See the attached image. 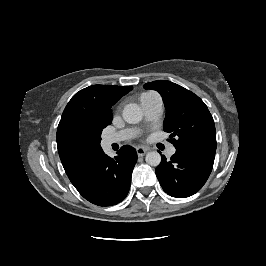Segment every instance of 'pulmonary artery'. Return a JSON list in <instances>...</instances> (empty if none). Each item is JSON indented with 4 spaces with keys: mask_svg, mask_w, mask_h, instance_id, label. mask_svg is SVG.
<instances>
[{
    "mask_svg": "<svg viewBox=\"0 0 266 266\" xmlns=\"http://www.w3.org/2000/svg\"><path fill=\"white\" fill-rule=\"evenodd\" d=\"M140 104L144 113L146 121H154L158 119L163 110V101L158 93L150 92L145 93L140 97ZM135 130L125 129L119 131L115 134L109 135L105 138V143L109 146L113 143H118L132 138L135 135ZM176 148L174 146H169L167 149V154L172 156L175 154Z\"/></svg>",
    "mask_w": 266,
    "mask_h": 266,
    "instance_id": "1",
    "label": "pulmonary artery"
}]
</instances>
